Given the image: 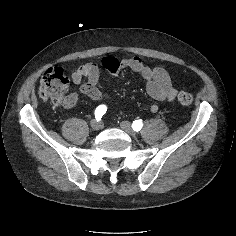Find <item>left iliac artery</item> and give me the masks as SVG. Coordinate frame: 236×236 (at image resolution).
Here are the masks:
<instances>
[{
  "instance_id": "44dca946",
  "label": "left iliac artery",
  "mask_w": 236,
  "mask_h": 236,
  "mask_svg": "<svg viewBox=\"0 0 236 236\" xmlns=\"http://www.w3.org/2000/svg\"><path fill=\"white\" fill-rule=\"evenodd\" d=\"M143 126L142 120H135L132 123V128L134 131H140Z\"/></svg>"
}]
</instances>
